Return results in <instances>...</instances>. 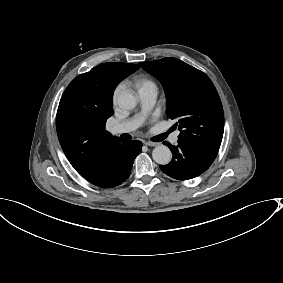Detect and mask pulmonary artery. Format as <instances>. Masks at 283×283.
I'll use <instances>...</instances> for the list:
<instances>
[{
    "label": "pulmonary artery",
    "mask_w": 283,
    "mask_h": 283,
    "mask_svg": "<svg viewBox=\"0 0 283 283\" xmlns=\"http://www.w3.org/2000/svg\"><path fill=\"white\" fill-rule=\"evenodd\" d=\"M157 95H158V90L157 87L155 86L146 87L144 89L139 90L137 96L139 103L143 108V111L140 114L133 116L132 118H129L123 122L111 126L110 128H108V131L112 135H117L122 133H128L138 128L145 119L148 112L154 106L157 99ZM179 134L180 132L177 131L172 135L171 141L174 144H177Z\"/></svg>",
    "instance_id": "obj_1"
}]
</instances>
